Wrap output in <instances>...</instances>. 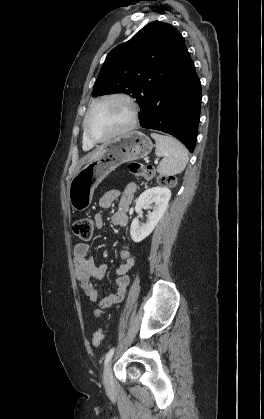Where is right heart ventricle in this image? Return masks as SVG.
I'll list each match as a JSON object with an SVG mask.
<instances>
[{
  "mask_svg": "<svg viewBox=\"0 0 264 419\" xmlns=\"http://www.w3.org/2000/svg\"><path fill=\"white\" fill-rule=\"evenodd\" d=\"M93 145L94 144H92V143H90L86 138H85V136H83V148L85 149V150H90V149H92L93 148Z\"/></svg>",
  "mask_w": 264,
  "mask_h": 419,
  "instance_id": "e07e8e85",
  "label": "right heart ventricle"
}]
</instances>
